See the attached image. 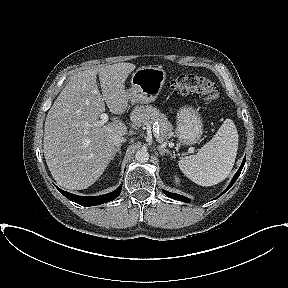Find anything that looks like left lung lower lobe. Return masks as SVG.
<instances>
[{
  "mask_svg": "<svg viewBox=\"0 0 288 288\" xmlns=\"http://www.w3.org/2000/svg\"><path fill=\"white\" fill-rule=\"evenodd\" d=\"M245 159H246V156H245V158H244V160H243V162H242L239 170L236 172V174H235V176L233 177L231 183H230L229 186L227 187V189H226L222 194H220L218 197H220L221 195H223V194H224L227 190H229L230 187L235 183V181L237 180V178L239 177V175H240V173H241V171H242V169H243V166H244V164H245ZM163 192L165 193L166 196H168V197H170V198H172V199H175V200H178V201H182V202H186V203H189V202H190V200H189L188 198H186V197H184V196H182V195H179V194H176V193H171V192H168V191H165V190H163ZM218 197H217V198H218Z\"/></svg>",
  "mask_w": 288,
  "mask_h": 288,
  "instance_id": "obj_1",
  "label": "left lung lower lobe"
}]
</instances>
